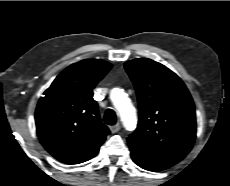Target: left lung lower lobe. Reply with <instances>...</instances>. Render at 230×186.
I'll return each instance as SVG.
<instances>
[{
  "mask_svg": "<svg viewBox=\"0 0 230 186\" xmlns=\"http://www.w3.org/2000/svg\"><path fill=\"white\" fill-rule=\"evenodd\" d=\"M129 148L133 161L138 166L148 171H161L175 165L180 161V159L172 156L142 151L141 149L130 144Z\"/></svg>",
  "mask_w": 230,
  "mask_h": 186,
  "instance_id": "1",
  "label": "left lung lower lobe"
}]
</instances>
